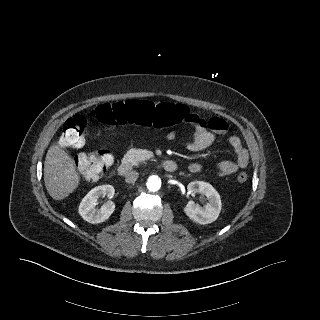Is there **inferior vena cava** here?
<instances>
[{
  "label": "inferior vena cava",
  "mask_w": 320,
  "mask_h": 320,
  "mask_svg": "<svg viewBox=\"0 0 320 320\" xmlns=\"http://www.w3.org/2000/svg\"><path fill=\"white\" fill-rule=\"evenodd\" d=\"M138 176H139L138 172L129 171L125 176V181L126 183H134L137 180Z\"/></svg>",
  "instance_id": "1"
}]
</instances>
